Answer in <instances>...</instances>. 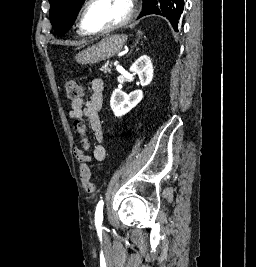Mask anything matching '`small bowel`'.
I'll use <instances>...</instances> for the list:
<instances>
[{
    "label": "small bowel",
    "instance_id": "obj_1",
    "mask_svg": "<svg viewBox=\"0 0 256 267\" xmlns=\"http://www.w3.org/2000/svg\"><path fill=\"white\" fill-rule=\"evenodd\" d=\"M104 89L103 79L96 77L93 78L90 82V95L87 100H84L82 97L73 100L71 102V111L69 113V118H87L90 128L98 141V144L95 145L93 149V158L96 161H103L106 156V149L102 145V125L100 120V109L102 106V94ZM74 128V127H73ZM74 131L79 135L77 130ZM86 133V132H85ZM81 148H77L75 151L76 158L80 162H90L91 157L85 154V150L91 148V140L87 135V138H80Z\"/></svg>",
    "mask_w": 256,
    "mask_h": 267
}]
</instances>
